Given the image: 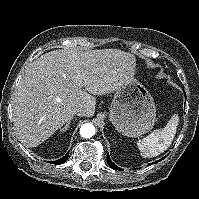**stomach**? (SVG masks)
<instances>
[{
	"label": "stomach",
	"instance_id": "obj_1",
	"mask_svg": "<svg viewBox=\"0 0 199 199\" xmlns=\"http://www.w3.org/2000/svg\"><path fill=\"white\" fill-rule=\"evenodd\" d=\"M109 119L116 130L127 137L141 136L153 128L156 119L154 100L135 76L116 89Z\"/></svg>",
	"mask_w": 199,
	"mask_h": 199
}]
</instances>
